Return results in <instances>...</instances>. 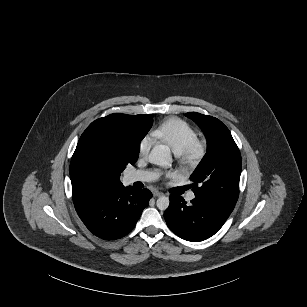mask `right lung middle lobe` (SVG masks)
I'll return each instance as SVG.
<instances>
[{
  "mask_svg": "<svg viewBox=\"0 0 307 307\" xmlns=\"http://www.w3.org/2000/svg\"><path fill=\"white\" fill-rule=\"evenodd\" d=\"M137 159H138V155L135 157V158H133L132 160H130V163L131 164H134L136 161H137ZM129 162H124L123 163V168H125V166L128 164Z\"/></svg>",
  "mask_w": 307,
  "mask_h": 307,
  "instance_id": "right-lung-middle-lobe-1",
  "label": "right lung middle lobe"
}]
</instances>
